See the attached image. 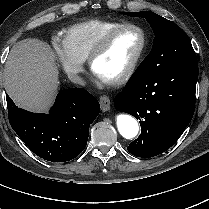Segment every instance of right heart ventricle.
<instances>
[{"label":"right heart ventricle","mask_w":209,"mask_h":209,"mask_svg":"<svg viewBox=\"0 0 209 209\" xmlns=\"http://www.w3.org/2000/svg\"><path fill=\"white\" fill-rule=\"evenodd\" d=\"M119 21L88 19L72 24L63 30V40L74 57L80 61L88 58L102 35Z\"/></svg>","instance_id":"e07e8e85"}]
</instances>
